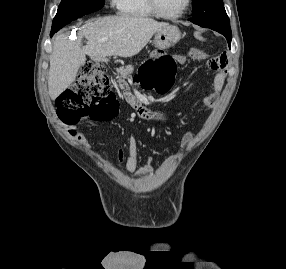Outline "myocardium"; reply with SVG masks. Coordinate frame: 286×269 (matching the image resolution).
Here are the masks:
<instances>
[{
    "label": "myocardium",
    "mask_w": 286,
    "mask_h": 269,
    "mask_svg": "<svg viewBox=\"0 0 286 269\" xmlns=\"http://www.w3.org/2000/svg\"><path fill=\"white\" fill-rule=\"evenodd\" d=\"M147 4L155 16L162 18V19L174 20V19L181 18L187 12V10L189 9L191 5V0H186L183 8L178 13L173 14V15L164 13L159 8L157 0H147Z\"/></svg>",
    "instance_id": "myocardium-1"
}]
</instances>
